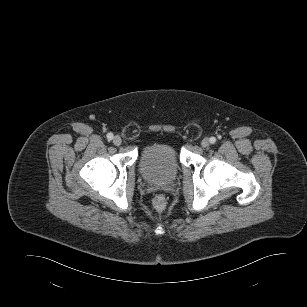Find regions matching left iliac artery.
<instances>
[{
	"label": "left iliac artery",
	"mask_w": 307,
	"mask_h": 307,
	"mask_svg": "<svg viewBox=\"0 0 307 307\" xmlns=\"http://www.w3.org/2000/svg\"><path fill=\"white\" fill-rule=\"evenodd\" d=\"M216 142V138L215 137H211L210 138V143L214 144Z\"/></svg>",
	"instance_id": "obj_1"
}]
</instances>
